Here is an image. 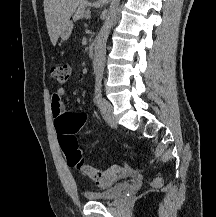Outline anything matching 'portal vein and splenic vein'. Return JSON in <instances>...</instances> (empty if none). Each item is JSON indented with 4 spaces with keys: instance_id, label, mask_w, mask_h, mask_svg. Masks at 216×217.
<instances>
[{
    "instance_id": "portal-vein-and-splenic-vein-1",
    "label": "portal vein and splenic vein",
    "mask_w": 216,
    "mask_h": 217,
    "mask_svg": "<svg viewBox=\"0 0 216 217\" xmlns=\"http://www.w3.org/2000/svg\"><path fill=\"white\" fill-rule=\"evenodd\" d=\"M89 16H90V10H87L85 17L88 18Z\"/></svg>"
}]
</instances>
